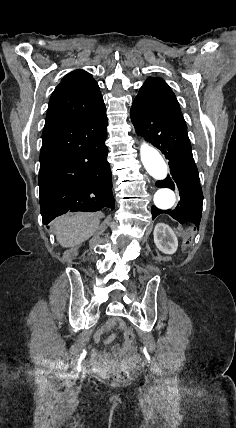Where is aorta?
Listing matches in <instances>:
<instances>
[{
  "mask_svg": "<svg viewBox=\"0 0 236 428\" xmlns=\"http://www.w3.org/2000/svg\"><path fill=\"white\" fill-rule=\"evenodd\" d=\"M141 161L147 172L156 180H163L168 173V167L158 150L146 142L140 146ZM175 193L168 189H159L154 195V204L160 210H167L175 204Z\"/></svg>",
  "mask_w": 236,
  "mask_h": 428,
  "instance_id": "obj_1",
  "label": "aorta"
}]
</instances>
